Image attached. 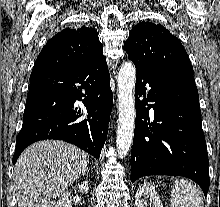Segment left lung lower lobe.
I'll use <instances>...</instances> for the list:
<instances>
[{"label": "left lung lower lobe", "instance_id": "0a47b994", "mask_svg": "<svg viewBox=\"0 0 220 207\" xmlns=\"http://www.w3.org/2000/svg\"><path fill=\"white\" fill-rule=\"evenodd\" d=\"M136 70L131 181L148 175L184 176L194 180L206 196L209 160L193 74H155L141 67ZM146 83L151 87L147 97ZM142 95L144 99L140 100ZM150 108L154 109L153 122L149 118Z\"/></svg>", "mask_w": 220, "mask_h": 207}]
</instances>
